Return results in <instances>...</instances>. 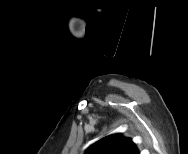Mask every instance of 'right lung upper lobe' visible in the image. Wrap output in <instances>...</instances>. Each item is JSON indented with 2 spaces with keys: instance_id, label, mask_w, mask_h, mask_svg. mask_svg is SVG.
I'll list each match as a JSON object with an SVG mask.
<instances>
[{
  "instance_id": "right-lung-upper-lobe-1",
  "label": "right lung upper lobe",
  "mask_w": 188,
  "mask_h": 154,
  "mask_svg": "<svg viewBox=\"0 0 188 154\" xmlns=\"http://www.w3.org/2000/svg\"><path fill=\"white\" fill-rule=\"evenodd\" d=\"M85 154H139V152L131 139L120 134H112L94 143Z\"/></svg>"
}]
</instances>
